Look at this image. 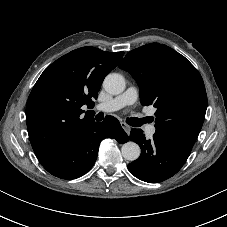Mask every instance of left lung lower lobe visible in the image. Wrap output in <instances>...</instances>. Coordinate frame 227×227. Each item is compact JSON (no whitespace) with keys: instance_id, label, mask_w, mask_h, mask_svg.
Masks as SVG:
<instances>
[{"instance_id":"left-lung-lower-lobe-1","label":"left lung lower lobe","mask_w":227,"mask_h":227,"mask_svg":"<svg viewBox=\"0 0 227 227\" xmlns=\"http://www.w3.org/2000/svg\"><path fill=\"white\" fill-rule=\"evenodd\" d=\"M130 140L140 146L141 155L128 164V169L135 177L149 183H159L175 175L191 152L171 143L166 135L158 132L147 140L141 129H132Z\"/></svg>"}]
</instances>
